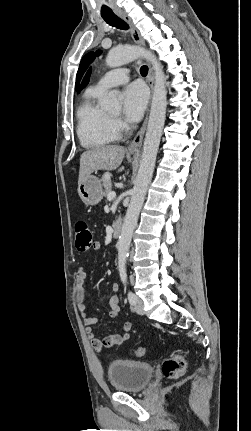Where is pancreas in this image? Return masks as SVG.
Instances as JSON below:
<instances>
[{
    "label": "pancreas",
    "instance_id": "pancreas-1",
    "mask_svg": "<svg viewBox=\"0 0 251 431\" xmlns=\"http://www.w3.org/2000/svg\"><path fill=\"white\" fill-rule=\"evenodd\" d=\"M103 186H104V194L107 197L110 192H112V182L109 174H105L103 176Z\"/></svg>",
    "mask_w": 251,
    "mask_h": 431
}]
</instances>
